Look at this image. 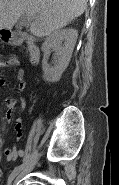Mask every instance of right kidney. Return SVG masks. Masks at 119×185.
Instances as JSON below:
<instances>
[{"instance_id": "right-kidney-1", "label": "right kidney", "mask_w": 119, "mask_h": 185, "mask_svg": "<svg viewBox=\"0 0 119 185\" xmlns=\"http://www.w3.org/2000/svg\"><path fill=\"white\" fill-rule=\"evenodd\" d=\"M77 37L78 32L76 29L67 28L57 30L46 38L42 44V51L44 52L42 69L45 81L52 83L59 81L70 62ZM52 50L55 51L56 56L53 66H50L48 58Z\"/></svg>"}]
</instances>
